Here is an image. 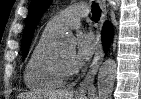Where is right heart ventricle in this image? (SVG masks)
I'll list each match as a JSON object with an SVG mask.
<instances>
[{
    "label": "right heart ventricle",
    "mask_w": 141,
    "mask_h": 99,
    "mask_svg": "<svg viewBox=\"0 0 141 99\" xmlns=\"http://www.w3.org/2000/svg\"><path fill=\"white\" fill-rule=\"evenodd\" d=\"M58 35L43 31L31 52L24 72V82L32 91H50L64 84L53 64L54 44Z\"/></svg>",
    "instance_id": "right-heart-ventricle-1"
}]
</instances>
